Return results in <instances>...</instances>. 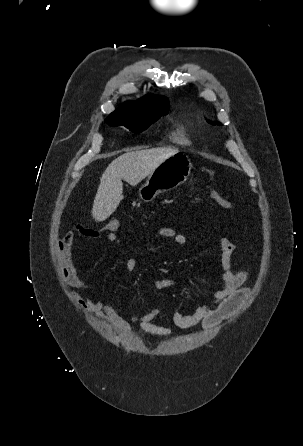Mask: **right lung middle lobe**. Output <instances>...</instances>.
<instances>
[{"label": "right lung middle lobe", "instance_id": "dd1d6c3e", "mask_svg": "<svg viewBox=\"0 0 303 446\" xmlns=\"http://www.w3.org/2000/svg\"><path fill=\"white\" fill-rule=\"evenodd\" d=\"M168 113V106L159 107L151 112L142 115H127L119 113H111L105 120L112 126H125L135 133H140L146 130L152 123L158 120L161 116Z\"/></svg>", "mask_w": 303, "mask_h": 446}]
</instances>
